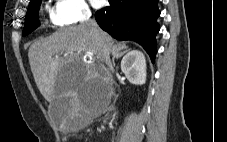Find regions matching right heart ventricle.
I'll return each instance as SVG.
<instances>
[{
  "label": "right heart ventricle",
  "mask_w": 227,
  "mask_h": 142,
  "mask_svg": "<svg viewBox=\"0 0 227 142\" xmlns=\"http://www.w3.org/2000/svg\"><path fill=\"white\" fill-rule=\"evenodd\" d=\"M50 18L53 24H57L56 21L54 20L53 13H50Z\"/></svg>",
  "instance_id": "e07e8e85"
}]
</instances>
